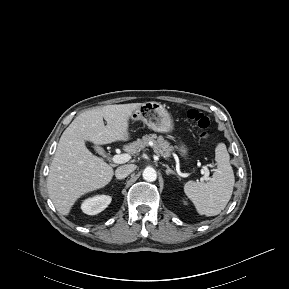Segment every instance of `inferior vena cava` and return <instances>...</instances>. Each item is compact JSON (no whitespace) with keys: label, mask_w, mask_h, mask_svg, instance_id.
Masks as SVG:
<instances>
[{"label":"inferior vena cava","mask_w":289,"mask_h":289,"mask_svg":"<svg viewBox=\"0 0 289 289\" xmlns=\"http://www.w3.org/2000/svg\"><path fill=\"white\" fill-rule=\"evenodd\" d=\"M136 166L133 164H127L120 166L115 171V176L117 179H123L126 178L130 173H132L135 170Z\"/></svg>","instance_id":"inferior-vena-cava-1"}]
</instances>
